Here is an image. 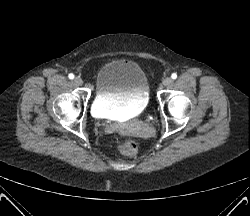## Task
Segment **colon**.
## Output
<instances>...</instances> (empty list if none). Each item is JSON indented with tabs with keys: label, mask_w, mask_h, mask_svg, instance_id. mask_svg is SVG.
Segmentation results:
<instances>
[{
	"label": "colon",
	"mask_w": 250,
	"mask_h": 216,
	"mask_svg": "<svg viewBox=\"0 0 250 216\" xmlns=\"http://www.w3.org/2000/svg\"><path fill=\"white\" fill-rule=\"evenodd\" d=\"M118 149L126 156H134L137 153L138 146L132 140H122L118 144Z\"/></svg>",
	"instance_id": "1"
}]
</instances>
